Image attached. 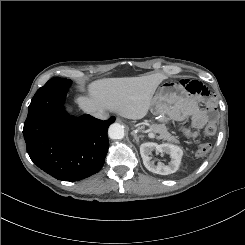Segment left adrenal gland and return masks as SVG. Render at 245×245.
<instances>
[{
	"instance_id": "a2214340",
	"label": "left adrenal gland",
	"mask_w": 245,
	"mask_h": 245,
	"mask_svg": "<svg viewBox=\"0 0 245 245\" xmlns=\"http://www.w3.org/2000/svg\"><path fill=\"white\" fill-rule=\"evenodd\" d=\"M132 135L134 136V139H135L136 143L139 144V139L142 138V136H141V135L138 136V135L135 134V133H132Z\"/></svg>"
}]
</instances>
